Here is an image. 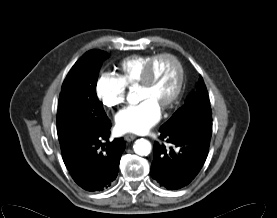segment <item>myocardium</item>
<instances>
[{
    "label": "myocardium",
    "instance_id": "myocardium-1",
    "mask_svg": "<svg viewBox=\"0 0 277 218\" xmlns=\"http://www.w3.org/2000/svg\"><path fill=\"white\" fill-rule=\"evenodd\" d=\"M161 59H168L175 65V67L177 69L176 84H175L173 90L171 91V93L169 94V96L160 105L162 108H167L170 105H172L179 98V96L182 92V89H183L184 81H185L184 66H183L181 60L175 54L161 53V54L154 56L153 59L148 64V66L146 67L144 76L139 84L141 86L145 87V86H149L152 83L155 66L158 63V61H160Z\"/></svg>",
    "mask_w": 277,
    "mask_h": 218
}]
</instances>
